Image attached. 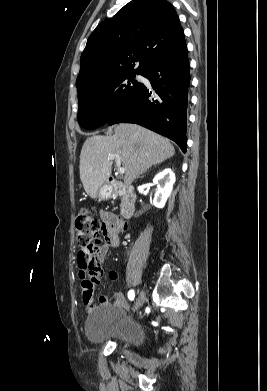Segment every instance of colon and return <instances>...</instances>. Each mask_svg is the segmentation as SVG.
Returning a JSON list of instances; mask_svg holds the SVG:
<instances>
[{"label":"colon","instance_id":"1","mask_svg":"<svg viewBox=\"0 0 267 391\" xmlns=\"http://www.w3.org/2000/svg\"><path fill=\"white\" fill-rule=\"evenodd\" d=\"M104 224L88 209H81L75 219V230L80 253L97 254L104 242L100 235Z\"/></svg>","mask_w":267,"mask_h":391}]
</instances>
